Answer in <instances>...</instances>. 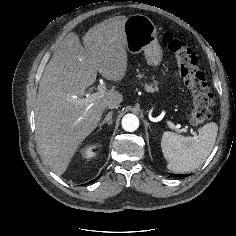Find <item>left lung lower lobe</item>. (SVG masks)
Masks as SVG:
<instances>
[{
    "instance_id": "obj_1",
    "label": "left lung lower lobe",
    "mask_w": 236,
    "mask_h": 236,
    "mask_svg": "<svg viewBox=\"0 0 236 236\" xmlns=\"http://www.w3.org/2000/svg\"><path fill=\"white\" fill-rule=\"evenodd\" d=\"M172 176H176V177H186V176H188V175H178V174H172L170 177H172Z\"/></svg>"
}]
</instances>
